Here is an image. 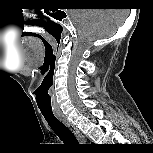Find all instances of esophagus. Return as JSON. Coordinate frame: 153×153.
Segmentation results:
<instances>
[{
	"instance_id": "esophagus-1",
	"label": "esophagus",
	"mask_w": 153,
	"mask_h": 153,
	"mask_svg": "<svg viewBox=\"0 0 153 153\" xmlns=\"http://www.w3.org/2000/svg\"><path fill=\"white\" fill-rule=\"evenodd\" d=\"M56 117L64 124L66 125L74 134V136L76 137V139L78 140V142L80 144H84L87 142L86 138L84 137V135L79 131V129L72 124L64 114L56 112L55 113Z\"/></svg>"
}]
</instances>
